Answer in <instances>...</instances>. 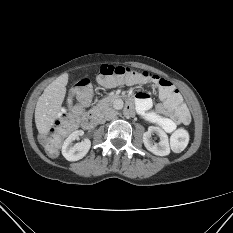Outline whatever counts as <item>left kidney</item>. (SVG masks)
I'll return each mask as SVG.
<instances>
[{"label": "left kidney", "instance_id": "left-kidney-1", "mask_svg": "<svg viewBox=\"0 0 233 233\" xmlns=\"http://www.w3.org/2000/svg\"><path fill=\"white\" fill-rule=\"evenodd\" d=\"M152 133H156L159 136V143H153V141L150 139ZM143 143L146 149L155 155L166 156L170 153L168 136L159 127L150 126L148 131L143 134Z\"/></svg>", "mask_w": 233, "mask_h": 233}]
</instances>
